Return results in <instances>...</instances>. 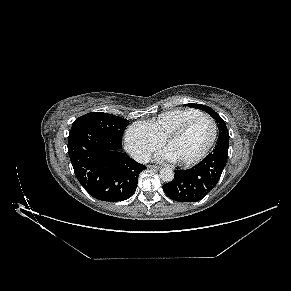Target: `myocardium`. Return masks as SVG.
Listing matches in <instances>:
<instances>
[{"instance_id": "f54148a6", "label": "myocardium", "mask_w": 291, "mask_h": 291, "mask_svg": "<svg viewBox=\"0 0 291 291\" xmlns=\"http://www.w3.org/2000/svg\"><path fill=\"white\" fill-rule=\"evenodd\" d=\"M200 119H207L212 124L211 139H210L209 143L207 144V146L205 147V149L196 157H194L190 160H187V161L175 160V162L179 166L189 167V166L195 165V164L199 163L200 161H202L209 154V152L211 151V149L213 148V146L216 142L217 135H218V127H217L216 121L211 116H209L207 114H200V115L194 116V117L188 119L187 121H185L184 123H182L180 126H178L176 129H174L172 132H170L163 140V145L165 147H167L171 141L177 139L182 134H184L186 132V130L192 124H194L196 121H198Z\"/></svg>"}]
</instances>
